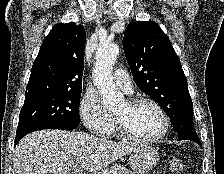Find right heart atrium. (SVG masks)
Here are the masks:
<instances>
[{
  "instance_id": "1",
  "label": "right heart atrium",
  "mask_w": 224,
  "mask_h": 174,
  "mask_svg": "<svg viewBox=\"0 0 224 174\" xmlns=\"http://www.w3.org/2000/svg\"><path fill=\"white\" fill-rule=\"evenodd\" d=\"M80 115L84 125L99 136L109 135L114 128V119L105 109L99 96L86 92L80 102Z\"/></svg>"
}]
</instances>
